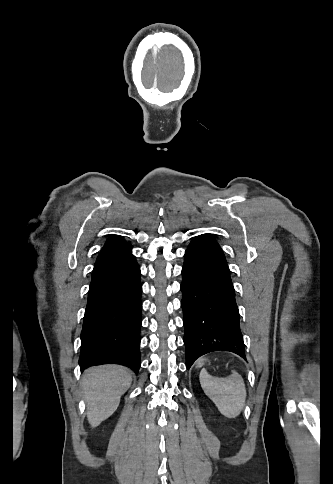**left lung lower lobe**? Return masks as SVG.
I'll return each mask as SVG.
<instances>
[{
	"instance_id": "left-lung-lower-lobe-1",
	"label": "left lung lower lobe",
	"mask_w": 333,
	"mask_h": 484,
	"mask_svg": "<svg viewBox=\"0 0 333 484\" xmlns=\"http://www.w3.org/2000/svg\"><path fill=\"white\" fill-rule=\"evenodd\" d=\"M181 283L186 366L209 352L245 357L230 270L210 234L195 237L184 255Z\"/></svg>"
}]
</instances>
